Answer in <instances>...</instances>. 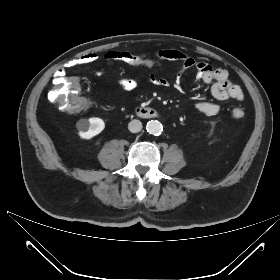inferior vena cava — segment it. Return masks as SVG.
I'll use <instances>...</instances> for the list:
<instances>
[{"mask_svg": "<svg viewBox=\"0 0 280 280\" xmlns=\"http://www.w3.org/2000/svg\"><path fill=\"white\" fill-rule=\"evenodd\" d=\"M128 129L132 133H138L142 129V123L139 120L134 119L129 122Z\"/></svg>", "mask_w": 280, "mask_h": 280, "instance_id": "obj_1", "label": "inferior vena cava"}]
</instances>
